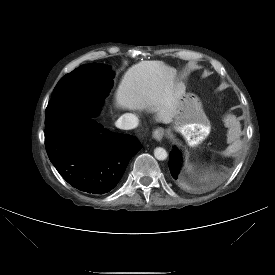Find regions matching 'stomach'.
Wrapping results in <instances>:
<instances>
[{"mask_svg":"<svg viewBox=\"0 0 275 275\" xmlns=\"http://www.w3.org/2000/svg\"><path fill=\"white\" fill-rule=\"evenodd\" d=\"M175 129L181 132L191 146L199 144L209 133L210 123L197 96L181 94L174 116Z\"/></svg>","mask_w":275,"mask_h":275,"instance_id":"0dacf381","label":"stomach"}]
</instances>
